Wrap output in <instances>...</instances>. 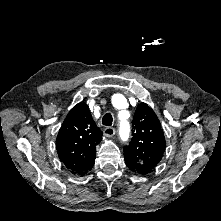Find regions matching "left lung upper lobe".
I'll use <instances>...</instances> for the list:
<instances>
[{
    "label": "left lung upper lobe",
    "instance_id": "obj_1",
    "mask_svg": "<svg viewBox=\"0 0 221 221\" xmlns=\"http://www.w3.org/2000/svg\"><path fill=\"white\" fill-rule=\"evenodd\" d=\"M133 138L124 148V157L134 161L142 173L160 162L166 147L161 123L152 108L140 103L132 121Z\"/></svg>",
    "mask_w": 221,
    "mask_h": 221
}]
</instances>
